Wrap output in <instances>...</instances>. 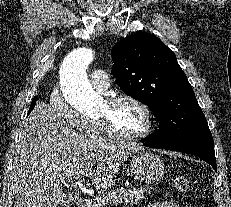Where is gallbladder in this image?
I'll list each match as a JSON object with an SVG mask.
<instances>
[{
  "mask_svg": "<svg viewBox=\"0 0 231 207\" xmlns=\"http://www.w3.org/2000/svg\"><path fill=\"white\" fill-rule=\"evenodd\" d=\"M77 198L73 194H65L63 201L61 202L62 207H69L76 202Z\"/></svg>",
  "mask_w": 231,
  "mask_h": 207,
  "instance_id": "gallbladder-1",
  "label": "gallbladder"
}]
</instances>
